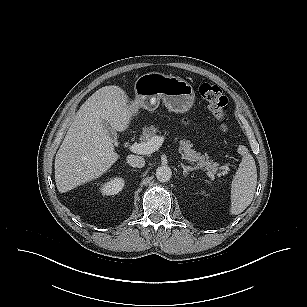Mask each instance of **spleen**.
Returning <instances> with one entry per match:
<instances>
[{
	"mask_svg": "<svg viewBox=\"0 0 307 307\" xmlns=\"http://www.w3.org/2000/svg\"><path fill=\"white\" fill-rule=\"evenodd\" d=\"M242 161L231 184L230 213H242L252 202L257 186V169L255 160L244 145L238 147Z\"/></svg>",
	"mask_w": 307,
	"mask_h": 307,
	"instance_id": "3e777b00",
	"label": "spleen"
}]
</instances>
